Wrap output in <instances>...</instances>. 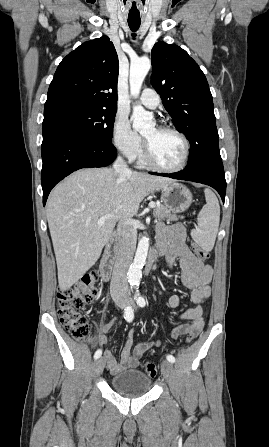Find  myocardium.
Listing matches in <instances>:
<instances>
[{"mask_svg": "<svg viewBox=\"0 0 269 447\" xmlns=\"http://www.w3.org/2000/svg\"><path fill=\"white\" fill-rule=\"evenodd\" d=\"M157 127L161 130L164 131H171L177 135H179L183 142H184V155L182 158V161L180 162L179 165L175 166V167H167L164 166L160 163H158L154 158H153V154H152V150L151 147L149 145V143L146 141V139L143 137V147H144V161L146 162V164H148L149 166L158 169V170H162L165 172H177L180 171L182 169H184L188 163L189 160V156H190V141L187 137V135L182 132L181 130L177 129L176 127H173L171 125H167V124H160L157 125Z\"/></svg>", "mask_w": 269, "mask_h": 447, "instance_id": "myocardium-1", "label": "myocardium"}]
</instances>
